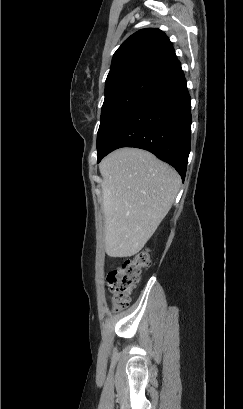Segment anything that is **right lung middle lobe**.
I'll return each mask as SVG.
<instances>
[{
	"label": "right lung middle lobe",
	"instance_id": "obj_1",
	"mask_svg": "<svg viewBox=\"0 0 243 409\" xmlns=\"http://www.w3.org/2000/svg\"><path fill=\"white\" fill-rule=\"evenodd\" d=\"M160 81L153 77L136 76L115 82L105 89V100L97 133L98 154L117 127Z\"/></svg>",
	"mask_w": 243,
	"mask_h": 409
}]
</instances>
